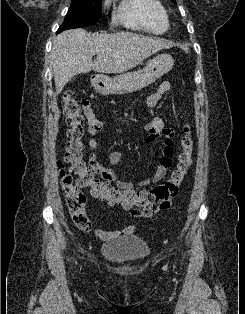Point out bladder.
Listing matches in <instances>:
<instances>
[{
	"label": "bladder",
	"instance_id": "1",
	"mask_svg": "<svg viewBox=\"0 0 245 314\" xmlns=\"http://www.w3.org/2000/svg\"><path fill=\"white\" fill-rule=\"evenodd\" d=\"M150 254L147 242L138 235L111 241L102 246L101 257L116 265L133 264L145 260Z\"/></svg>",
	"mask_w": 245,
	"mask_h": 314
}]
</instances>
